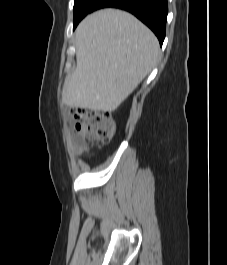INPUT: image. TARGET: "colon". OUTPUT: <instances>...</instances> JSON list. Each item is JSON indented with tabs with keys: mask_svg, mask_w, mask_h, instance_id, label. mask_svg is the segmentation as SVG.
I'll use <instances>...</instances> for the list:
<instances>
[{
	"mask_svg": "<svg viewBox=\"0 0 227 265\" xmlns=\"http://www.w3.org/2000/svg\"><path fill=\"white\" fill-rule=\"evenodd\" d=\"M70 113L76 130L81 133L77 141L81 148H87L95 142L108 143L113 138L116 124L110 113L86 108H73Z\"/></svg>",
	"mask_w": 227,
	"mask_h": 265,
	"instance_id": "1",
	"label": "colon"
}]
</instances>
